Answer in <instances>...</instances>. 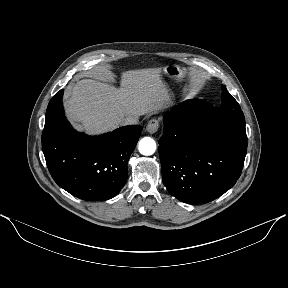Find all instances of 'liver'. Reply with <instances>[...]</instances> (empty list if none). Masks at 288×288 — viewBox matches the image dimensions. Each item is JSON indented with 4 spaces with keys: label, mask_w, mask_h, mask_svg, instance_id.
I'll return each mask as SVG.
<instances>
[{
    "label": "liver",
    "mask_w": 288,
    "mask_h": 288,
    "mask_svg": "<svg viewBox=\"0 0 288 288\" xmlns=\"http://www.w3.org/2000/svg\"><path fill=\"white\" fill-rule=\"evenodd\" d=\"M70 118L88 134L112 131L129 116L157 112L171 104L161 70L148 68L122 72L120 87L83 79L65 97Z\"/></svg>",
    "instance_id": "obj_1"
}]
</instances>
